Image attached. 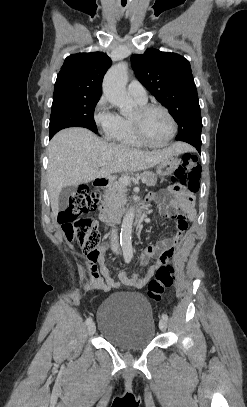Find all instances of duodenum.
Returning <instances> with one entry per match:
<instances>
[{"label":"duodenum","instance_id":"obj_1","mask_svg":"<svg viewBox=\"0 0 247 407\" xmlns=\"http://www.w3.org/2000/svg\"><path fill=\"white\" fill-rule=\"evenodd\" d=\"M107 185H108V182L103 177H98V178L94 179V181H93V186L96 189H104L107 187ZM132 211L138 222L143 219L144 208H140V209L133 208ZM121 215H122V210L117 207H114V206L103 205L99 208L100 219L107 225H111V224L117 222L120 219Z\"/></svg>","mask_w":247,"mask_h":407}]
</instances>
